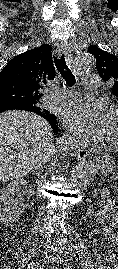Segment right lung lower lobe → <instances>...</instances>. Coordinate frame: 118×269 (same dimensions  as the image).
<instances>
[{
  "label": "right lung lower lobe",
  "mask_w": 118,
  "mask_h": 269,
  "mask_svg": "<svg viewBox=\"0 0 118 269\" xmlns=\"http://www.w3.org/2000/svg\"><path fill=\"white\" fill-rule=\"evenodd\" d=\"M13 109H20L33 112V110L29 106L17 102L0 104V113ZM54 132L55 133L57 132V128L56 130H54Z\"/></svg>",
  "instance_id": "right-lung-lower-lobe-1"
}]
</instances>
